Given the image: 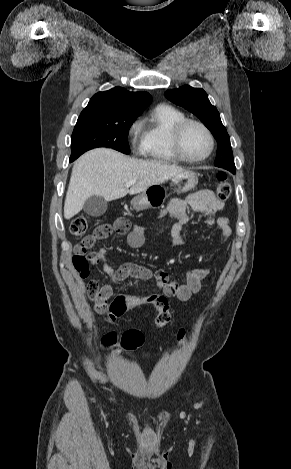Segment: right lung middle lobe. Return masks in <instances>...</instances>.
<instances>
[{
    "label": "right lung middle lobe",
    "instance_id": "obj_1",
    "mask_svg": "<svg viewBox=\"0 0 291 469\" xmlns=\"http://www.w3.org/2000/svg\"><path fill=\"white\" fill-rule=\"evenodd\" d=\"M136 117L108 118L80 115L71 137V156L77 159L96 147H108L129 154L128 131Z\"/></svg>",
    "mask_w": 291,
    "mask_h": 469
}]
</instances>
